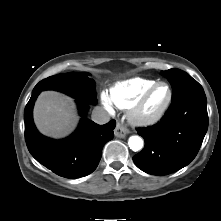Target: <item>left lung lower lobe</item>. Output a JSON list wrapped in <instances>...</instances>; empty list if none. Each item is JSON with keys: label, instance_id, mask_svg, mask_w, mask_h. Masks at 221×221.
<instances>
[{"label": "left lung lower lobe", "instance_id": "0a47b994", "mask_svg": "<svg viewBox=\"0 0 221 221\" xmlns=\"http://www.w3.org/2000/svg\"><path fill=\"white\" fill-rule=\"evenodd\" d=\"M207 128V100L202 86L183 91L172 97V104L159 123L137 129L145 147L133 161L149 174L175 172L195 158Z\"/></svg>", "mask_w": 221, "mask_h": 221}]
</instances>
